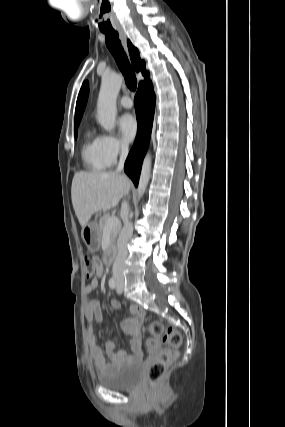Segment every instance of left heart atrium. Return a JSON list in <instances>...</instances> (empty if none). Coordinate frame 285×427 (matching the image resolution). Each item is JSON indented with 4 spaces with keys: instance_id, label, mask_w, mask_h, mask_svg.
I'll return each instance as SVG.
<instances>
[{
    "instance_id": "39dd6f15",
    "label": "left heart atrium",
    "mask_w": 285,
    "mask_h": 427,
    "mask_svg": "<svg viewBox=\"0 0 285 427\" xmlns=\"http://www.w3.org/2000/svg\"><path fill=\"white\" fill-rule=\"evenodd\" d=\"M119 128L123 139L126 142L132 141L138 131V124L135 117L131 114H124L119 120Z\"/></svg>"
}]
</instances>
